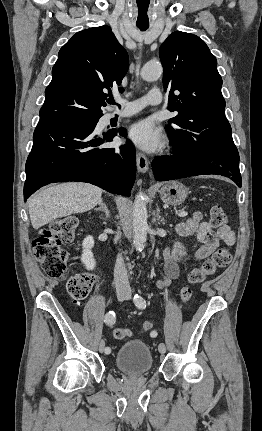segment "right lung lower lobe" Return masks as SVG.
I'll return each instance as SVG.
<instances>
[{"label":"right lung lower lobe","mask_w":262,"mask_h":431,"mask_svg":"<svg viewBox=\"0 0 262 431\" xmlns=\"http://www.w3.org/2000/svg\"><path fill=\"white\" fill-rule=\"evenodd\" d=\"M96 124L87 118L40 120L26 162L24 200L44 185L78 181L97 185L108 192L130 195L136 176L132 143L119 148H102L124 128L94 135Z\"/></svg>","instance_id":"98d812e1"}]
</instances>
